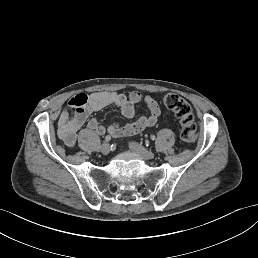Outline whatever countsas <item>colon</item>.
<instances>
[{
	"label": "colon",
	"instance_id": "1",
	"mask_svg": "<svg viewBox=\"0 0 258 258\" xmlns=\"http://www.w3.org/2000/svg\"><path fill=\"white\" fill-rule=\"evenodd\" d=\"M165 106L171 110L180 123V136L189 143L197 139V129L189 103L182 97L169 93L163 97Z\"/></svg>",
	"mask_w": 258,
	"mask_h": 258
}]
</instances>
